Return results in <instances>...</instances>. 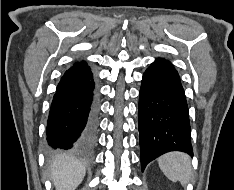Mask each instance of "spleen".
<instances>
[{
	"instance_id": "obj_1",
	"label": "spleen",
	"mask_w": 234,
	"mask_h": 190,
	"mask_svg": "<svg viewBox=\"0 0 234 190\" xmlns=\"http://www.w3.org/2000/svg\"><path fill=\"white\" fill-rule=\"evenodd\" d=\"M164 175L172 182L180 181L185 186L192 175L190 157L182 152H170L158 158Z\"/></svg>"
}]
</instances>
